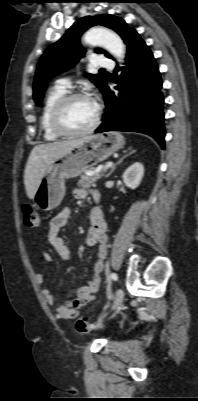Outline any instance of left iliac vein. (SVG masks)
I'll use <instances>...</instances> for the list:
<instances>
[{
	"instance_id": "left-iliac-vein-1",
	"label": "left iliac vein",
	"mask_w": 198,
	"mask_h": 401,
	"mask_svg": "<svg viewBox=\"0 0 198 401\" xmlns=\"http://www.w3.org/2000/svg\"><path fill=\"white\" fill-rule=\"evenodd\" d=\"M123 299H124V292L122 289H118L114 299V303L112 305V310L117 309L122 304Z\"/></svg>"
}]
</instances>
